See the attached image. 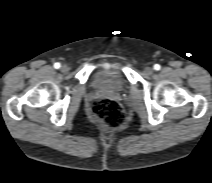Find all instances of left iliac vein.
<instances>
[{"label":"left iliac vein","mask_w":212,"mask_h":183,"mask_svg":"<svg viewBox=\"0 0 212 183\" xmlns=\"http://www.w3.org/2000/svg\"><path fill=\"white\" fill-rule=\"evenodd\" d=\"M153 68H151V67H146L145 69H144V73L146 74V75H151V74H153Z\"/></svg>","instance_id":"left-iliac-vein-1"}]
</instances>
